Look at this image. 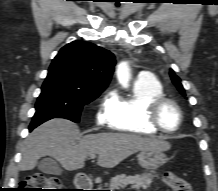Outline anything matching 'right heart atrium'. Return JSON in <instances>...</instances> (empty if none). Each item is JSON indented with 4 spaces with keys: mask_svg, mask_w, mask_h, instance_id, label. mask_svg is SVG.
<instances>
[{
    "mask_svg": "<svg viewBox=\"0 0 218 191\" xmlns=\"http://www.w3.org/2000/svg\"><path fill=\"white\" fill-rule=\"evenodd\" d=\"M119 97L115 91H109L103 97L96 113L98 125L109 124L118 106Z\"/></svg>",
    "mask_w": 218,
    "mask_h": 191,
    "instance_id": "obj_1",
    "label": "right heart atrium"
}]
</instances>
